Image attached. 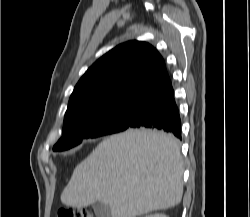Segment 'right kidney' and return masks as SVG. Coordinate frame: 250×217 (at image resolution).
<instances>
[{
	"instance_id": "ca27d5eb",
	"label": "right kidney",
	"mask_w": 250,
	"mask_h": 217,
	"mask_svg": "<svg viewBox=\"0 0 250 217\" xmlns=\"http://www.w3.org/2000/svg\"><path fill=\"white\" fill-rule=\"evenodd\" d=\"M146 217H168V216H166L165 214H152V215H147Z\"/></svg>"
}]
</instances>
